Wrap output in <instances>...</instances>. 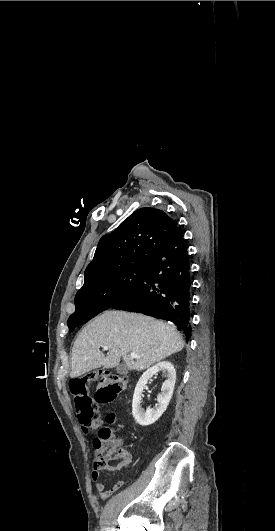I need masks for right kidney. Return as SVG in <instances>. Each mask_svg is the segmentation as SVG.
<instances>
[{
	"instance_id": "ca27d5eb",
	"label": "right kidney",
	"mask_w": 275,
	"mask_h": 531,
	"mask_svg": "<svg viewBox=\"0 0 275 531\" xmlns=\"http://www.w3.org/2000/svg\"><path fill=\"white\" fill-rule=\"evenodd\" d=\"M159 371L168 373V379L167 381H164L162 385V395H158L157 397V407H155V409H150V407H147L146 411H144V409L141 407V395L143 393V389L145 385H147L149 379H152L153 375H156V373H159ZM175 381L176 371L170 361H162V363H157V365L150 367V369H147V371L143 373L135 387L132 401V415L138 425H142V427H148V425H153L155 421L160 419L161 415H163L170 403V399L173 395L175 387Z\"/></svg>"
}]
</instances>
